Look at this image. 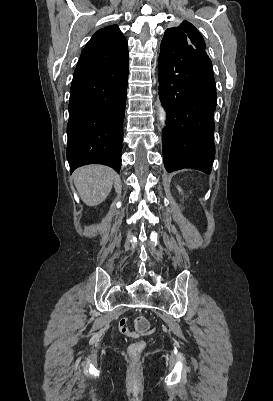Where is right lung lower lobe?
<instances>
[{
  "mask_svg": "<svg viewBox=\"0 0 273 401\" xmlns=\"http://www.w3.org/2000/svg\"><path fill=\"white\" fill-rule=\"evenodd\" d=\"M128 59L71 85L67 125L71 172L86 164L120 171Z\"/></svg>",
  "mask_w": 273,
  "mask_h": 401,
  "instance_id": "right-lung-lower-lobe-1",
  "label": "right lung lower lobe"
}]
</instances>
